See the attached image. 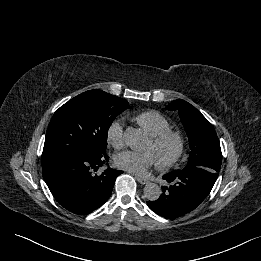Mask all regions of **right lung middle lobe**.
<instances>
[{
    "mask_svg": "<svg viewBox=\"0 0 261 261\" xmlns=\"http://www.w3.org/2000/svg\"><path fill=\"white\" fill-rule=\"evenodd\" d=\"M128 106L126 100L98 89L72 98L54 113L42 156L76 151L105 153L108 129Z\"/></svg>",
    "mask_w": 261,
    "mask_h": 261,
    "instance_id": "obj_1",
    "label": "right lung middle lobe"
}]
</instances>
